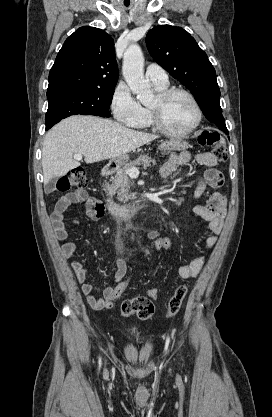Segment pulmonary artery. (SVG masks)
I'll return each mask as SVG.
<instances>
[{"label":"pulmonary artery","instance_id":"1","mask_svg":"<svg viewBox=\"0 0 272 417\" xmlns=\"http://www.w3.org/2000/svg\"><path fill=\"white\" fill-rule=\"evenodd\" d=\"M145 75L154 85L166 86L169 83L166 71L157 64L148 65Z\"/></svg>","mask_w":272,"mask_h":417}]
</instances>
